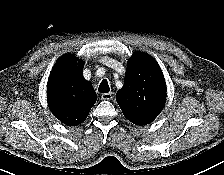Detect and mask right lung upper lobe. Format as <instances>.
Instances as JSON below:
<instances>
[{
  "mask_svg": "<svg viewBox=\"0 0 224 175\" xmlns=\"http://www.w3.org/2000/svg\"><path fill=\"white\" fill-rule=\"evenodd\" d=\"M82 72L83 61L65 54L55 63L48 80V106L67 126L81 124L97 100L91 83L83 78Z\"/></svg>",
  "mask_w": 224,
  "mask_h": 175,
  "instance_id": "obj_1",
  "label": "right lung upper lobe"
}]
</instances>
